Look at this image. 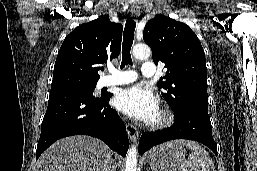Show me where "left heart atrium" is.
<instances>
[{
    "label": "left heart atrium",
    "instance_id": "obj_1",
    "mask_svg": "<svg viewBox=\"0 0 257 171\" xmlns=\"http://www.w3.org/2000/svg\"><path fill=\"white\" fill-rule=\"evenodd\" d=\"M114 106L126 115L142 121H150L159 109L157 97L142 86L120 90L114 98Z\"/></svg>",
    "mask_w": 257,
    "mask_h": 171
}]
</instances>
